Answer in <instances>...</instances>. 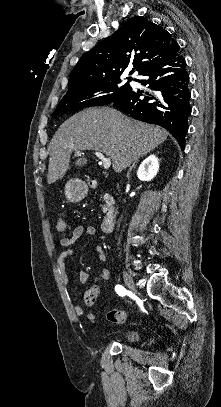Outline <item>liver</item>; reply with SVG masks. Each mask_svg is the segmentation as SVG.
<instances>
[{
	"instance_id": "6515ba94",
	"label": "liver",
	"mask_w": 221,
	"mask_h": 407,
	"mask_svg": "<svg viewBox=\"0 0 221 407\" xmlns=\"http://www.w3.org/2000/svg\"><path fill=\"white\" fill-rule=\"evenodd\" d=\"M168 136L159 127L135 121L110 107L89 108L67 119L49 144L48 184L61 179L70 167L73 151L94 150L112 160V168L120 173L133 161L146 155ZM86 158L75 166L83 167Z\"/></svg>"
}]
</instances>
